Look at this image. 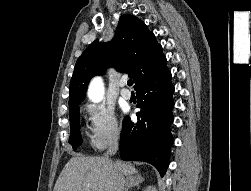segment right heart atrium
Segmentation results:
<instances>
[{
    "instance_id": "right-heart-atrium-1",
    "label": "right heart atrium",
    "mask_w": 251,
    "mask_h": 191,
    "mask_svg": "<svg viewBox=\"0 0 251 191\" xmlns=\"http://www.w3.org/2000/svg\"><path fill=\"white\" fill-rule=\"evenodd\" d=\"M88 122V137L95 151H103L120 136V127L114 111L103 103L90 102L84 106Z\"/></svg>"
}]
</instances>
